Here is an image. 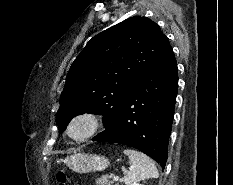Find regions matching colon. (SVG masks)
<instances>
[{"mask_svg": "<svg viewBox=\"0 0 233 185\" xmlns=\"http://www.w3.org/2000/svg\"><path fill=\"white\" fill-rule=\"evenodd\" d=\"M68 181L67 175L63 170L58 171L57 173V185H66Z\"/></svg>", "mask_w": 233, "mask_h": 185, "instance_id": "colon-1", "label": "colon"}]
</instances>
